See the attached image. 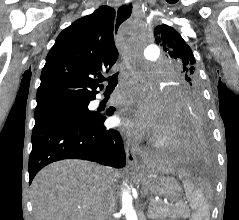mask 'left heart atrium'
I'll use <instances>...</instances> for the list:
<instances>
[{
  "label": "left heart atrium",
  "mask_w": 239,
  "mask_h": 220,
  "mask_svg": "<svg viewBox=\"0 0 239 220\" xmlns=\"http://www.w3.org/2000/svg\"><path fill=\"white\" fill-rule=\"evenodd\" d=\"M125 110L129 113H136L139 119L135 127L140 131H148L154 129L157 118L154 115L156 111L149 105V102L137 93H124L121 97ZM116 126L130 130L134 124L126 118L116 117L114 119Z\"/></svg>",
  "instance_id": "left-heart-atrium-1"
}]
</instances>
